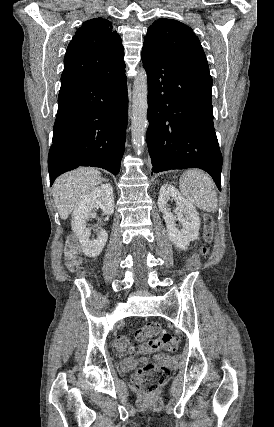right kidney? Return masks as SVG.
<instances>
[{
    "label": "right kidney",
    "mask_w": 274,
    "mask_h": 427,
    "mask_svg": "<svg viewBox=\"0 0 274 427\" xmlns=\"http://www.w3.org/2000/svg\"><path fill=\"white\" fill-rule=\"evenodd\" d=\"M92 208H101L106 215L113 214L115 206L110 184H101L94 188L90 194L84 196V200L76 206L72 214L71 227L79 237L83 253L88 257H97L107 241L108 233L105 229H100L97 239H90V229L86 227V221L91 217Z\"/></svg>",
    "instance_id": "1"
}]
</instances>
